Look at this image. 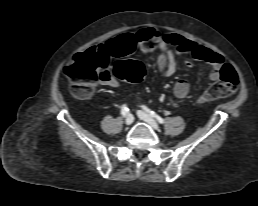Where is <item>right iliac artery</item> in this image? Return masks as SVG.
<instances>
[{"mask_svg":"<svg viewBox=\"0 0 258 206\" xmlns=\"http://www.w3.org/2000/svg\"><path fill=\"white\" fill-rule=\"evenodd\" d=\"M121 114L123 115V117H126L128 114V108L126 107V105H123L121 108Z\"/></svg>","mask_w":258,"mask_h":206,"instance_id":"1","label":"right iliac artery"}]
</instances>
